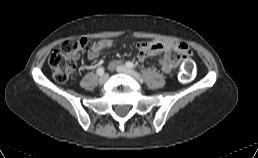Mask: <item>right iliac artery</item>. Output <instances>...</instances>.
Returning <instances> with one entry per match:
<instances>
[{
    "label": "right iliac artery",
    "mask_w": 258,
    "mask_h": 158,
    "mask_svg": "<svg viewBox=\"0 0 258 158\" xmlns=\"http://www.w3.org/2000/svg\"><path fill=\"white\" fill-rule=\"evenodd\" d=\"M97 74H98L99 76L103 75V74H104V68H103V67H99V68L97 69Z\"/></svg>",
    "instance_id": "obj_1"
}]
</instances>
